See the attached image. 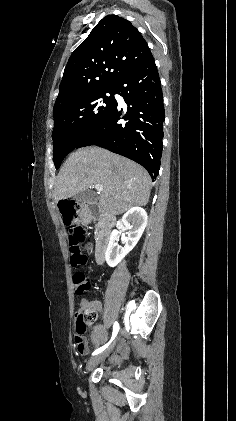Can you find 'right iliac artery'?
Listing matches in <instances>:
<instances>
[{
  "label": "right iliac artery",
  "instance_id": "1",
  "mask_svg": "<svg viewBox=\"0 0 236 421\" xmlns=\"http://www.w3.org/2000/svg\"><path fill=\"white\" fill-rule=\"evenodd\" d=\"M118 331H119V324H118V322H115L114 325H113V333H112L111 340L107 344H105L104 346H102L99 349L95 350L92 353V355H97V354L101 353L102 351H104L109 346V344L114 340V338L116 337Z\"/></svg>",
  "mask_w": 236,
  "mask_h": 421
}]
</instances>
